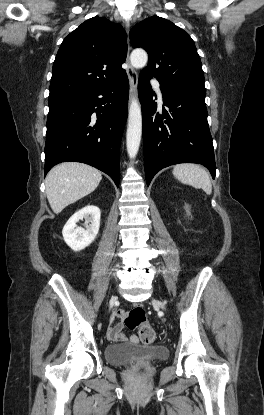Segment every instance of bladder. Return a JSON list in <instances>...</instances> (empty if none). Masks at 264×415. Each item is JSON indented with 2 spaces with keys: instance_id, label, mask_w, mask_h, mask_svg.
<instances>
[{
  "instance_id": "bladder-1",
  "label": "bladder",
  "mask_w": 264,
  "mask_h": 415,
  "mask_svg": "<svg viewBox=\"0 0 264 415\" xmlns=\"http://www.w3.org/2000/svg\"><path fill=\"white\" fill-rule=\"evenodd\" d=\"M105 359L113 365H128L134 358L146 361H163L168 358V350L162 346H142L136 343L108 345L104 348Z\"/></svg>"
}]
</instances>
